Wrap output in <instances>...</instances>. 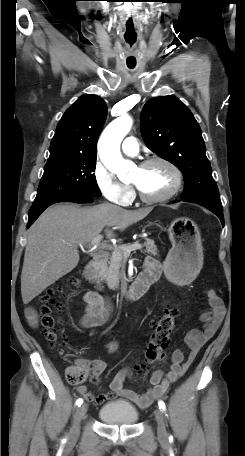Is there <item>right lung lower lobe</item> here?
<instances>
[{
  "label": "right lung lower lobe",
  "mask_w": 245,
  "mask_h": 456,
  "mask_svg": "<svg viewBox=\"0 0 245 456\" xmlns=\"http://www.w3.org/2000/svg\"><path fill=\"white\" fill-rule=\"evenodd\" d=\"M93 201V196H70L66 198H60L46 203L33 205L29 212V221L27 227H29L39 215L50 205L58 202H75V203H90Z\"/></svg>",
  "instance_id": "right-lung-lower-lobe-1"
}]
</instances>
